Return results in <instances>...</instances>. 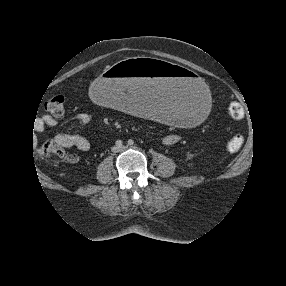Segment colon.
<instances>
[{"instance_id":"obj_1","label":"colon","mask_w":286,"mask_h":286,"mask_svg":"<svg viewBox=\"0 0 286 286\" xmlns=\"http://www.w3.org/2000/svg\"><path fill=\"white\" fill-rule=\"evenodd\" d=\"M65 98L63 95L58 94L49 98L45 102V108L54 116H60L64 111ZM228 114L235 120H241L244 117V109L238 102H231L228 105ZM243 137L241 135H233L227 141V149L230 152H238L243 145ZM42 156L58 162L63 160L66 155L62 147L54 141L44 142L39 149Z\"/></svg>"}]
</instances>
